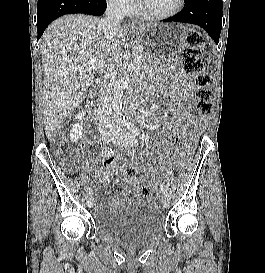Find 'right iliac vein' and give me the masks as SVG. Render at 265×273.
Listing matches in <instances>:
<instances>
[{
	"instance_id": "1",
	"label": "right iliac vein",
	"mask_w": 265,
	"mask_h": 273,
	"mask_svg": "<svg viewBox=\"0 0 265 273\" xmlns=\"http://www.w3.org/2000/svg\"><path fill=\"white\" fill-rule=\"evenodd\" d=\"M115 137L114 136H109L108 138H107V140H106V142H114L115 141ZM93 205H94V199L92 198V197H89L88 198V200H87V206L89 207V208H91V207H93Z\"/></svg>"
}]
</instances>
